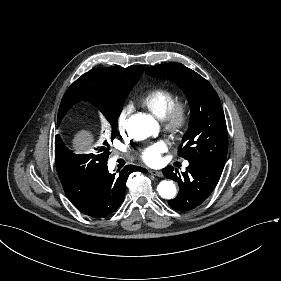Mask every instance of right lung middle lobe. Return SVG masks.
Masks as SVG:
<instances>
[{
  "label": "right lung middle lobe",
  "instance_id": "dd1d6c3e",
  "mask_svg": "<svg viewBox=\"0 0 281 281\" xmlns=\"http://www.w3.org/2000/svg\"><path fill=\"white\" fill-rule=\"evenodd\" d=\"M123 105L112 106V105H101L99 106V110L103 113V115L107 118L110 122L113 130H112V140L117 135V122L118 117L122 111ZM108 143L105 141L103 146L99 148V154H102V157L107 158L110 154L108 150ZM55 160L57 171L60 180L65 178L74 177L81 172L84 171L86 167V163L88 162L89 158H84L83 155H76L73 156L70 153H63L55 151Z\"/></svg>",
  "mask_w": 281,
  "mask_h": 281
}]
</instances>
